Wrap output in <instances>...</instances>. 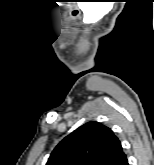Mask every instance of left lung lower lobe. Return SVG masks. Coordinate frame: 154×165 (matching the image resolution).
<instances>
[{
  "mask_svg": "<svg viewBox=\"0 0 154 165\" xmlns=\"http://www.w3.org/2000/svg\"><path fill=\"white\" fill-rule=\"evenodd\" d=\"M117 165H128V161L125 154H123L122 158L120 159Z\"/></svg>",
  "mask_w": 154,
  "mask_h": 165,
  "instance_id": "obj_1",
  "label": "left lung lower lobe"
}]
</instances>
